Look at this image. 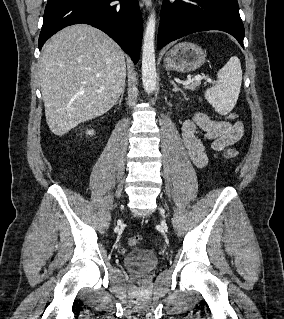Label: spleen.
I'll use <instances>...</instances> for the list:
<instances>
[{"label": "spleen", "instance_id": "1", "mask_svg": "<svg viewBox=\"0 0 284 319\" xmlns=\"http://www.w3.org/2000/svg\"><path fill=\"white\" fill-rule=\"evenodd\" d=\"M216 86L205 91L206 100L216 112L228 114L235 106L242 83V69L237 56H232L217 73Z\"/></svg>", "mask_w": 284, "mask_h": 319}]
</instances>
